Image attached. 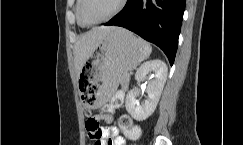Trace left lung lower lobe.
Returning <instances> with one entry per match:
<instances>
[{
  "label": "left lung lower lobe",
  "instance_id": "0a47b994",
  "mask_svg": "<svg viewBox=\"0 0 243 145\" xmlns=\"http://www.w3.org/2000/svg\"><path fill=\"white\" fill-rule=\"evenodd\" d=\"M185 4L186 0H127L104 25L124 27L154 43L173 65Z\"/></svg>",
  "mask_w": 243,
  "mask_h": 145
}]
</instances>
